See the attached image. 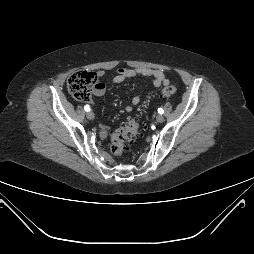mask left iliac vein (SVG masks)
Masks as SVG:
<instances>
[{"instance_id":"1","label":"left iliac vein","mask_w":254,"mask_h":254,"mask_svg":"<svg viewBox=\"0 0 254 254\" xmlns=\"http://www.w3.org/2000/svg\"><path fill=\"white\" fill-rule=\"evenodd\" d=\"M156 121H157L158 123H162V122L164 121L163 115H161V114L157 115Z\"/></svg>"}]
</instances>
